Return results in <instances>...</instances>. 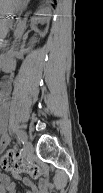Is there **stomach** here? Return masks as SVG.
Instances as JSON below:
<instances>
[{
    "mask_svg": "<svg viewBox=\"0 0 103 193\" xmlns=\"http://www.w3.org/2000/svg\"><path fill=\"white\" fill-rule=\"evenodd\" d=\"M21 0H5L3 9L1 8L2 15H10L19 9ZM1 7V4H0Z\"/></svg>",
    "mask_w": 103,
    "mask_h": 193,
    "instance_id": "stomach-1",
    "label": "stomach"
}]
</instances>
